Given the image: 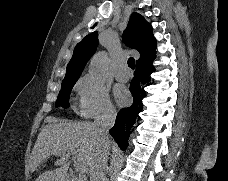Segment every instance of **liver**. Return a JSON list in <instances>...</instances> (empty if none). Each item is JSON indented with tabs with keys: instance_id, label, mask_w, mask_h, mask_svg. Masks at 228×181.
<instances>
[{
	"instance_id": "obj_1",
	"label": "liver",
	"mask_w": 228,
	"mask_h": 181,
	"mask_svg": "<svg viewBox=\"0 0 228 181\" xmlns=\"http://www.w3.org/2000/svg\"><path fill=\"white\" fill-rule=\"evenodd\" d=\"M43 129H41L37 141L31 153L29 165L31 173H35L44 161L50 159L52 155L61 157L54 161V165L59 167L55 171H45L39 175L37 181H66L70 161L67 151H78V165L90 167L91 161L103 147L101 139L95 133L94 123L82 121V123H71V121H61L55 117H47ZM110 147L113 143L111 137L107 139Z\"/></svg>"
}]
</instances>
